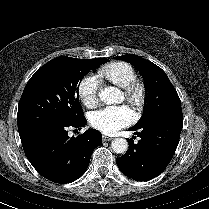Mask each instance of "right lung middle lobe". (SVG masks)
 I'll return each mask as SVG.
<instances>
[{"instance_id": "obj_1", "label": "right lung middle lobe", "mask_w": 209, "mask_h": 209, "mask_svg": "<svg viewBox=\"0 0 209 209\" xmlns=\"http://www.w3.org/2000/svg\"><path fill=\"white\" fill-rule=\"evenodd\" d=\"M96 67L89 59L57 57L39 68L27 82L19 102V135L83 116L78 99L79 82Z\"/></svg>"}]
</instances>
